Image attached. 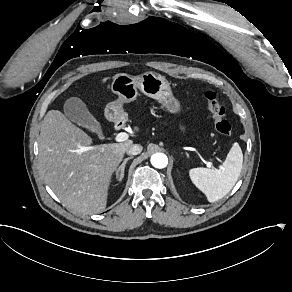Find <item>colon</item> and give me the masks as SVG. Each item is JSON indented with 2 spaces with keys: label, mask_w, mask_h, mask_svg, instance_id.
<instances>
[{
  "label": "colon",
  "mask_w": 292,
  "mask_h": 292,
  "mask_svg": "<svg viewBox=\"0 0 292 292\" xmlns=\"http://www.w3.org/2000/svg\"><path fill=\"white\" fill-rule=\"evenodd\" d=\"M204 99L212 115L216 131L221 135H229L231 133V125L225 118L226 110L218 95L213 91H207L204 94Z\"/></svg>",
  "instance_id": "colon-1"
}]
</instances>
